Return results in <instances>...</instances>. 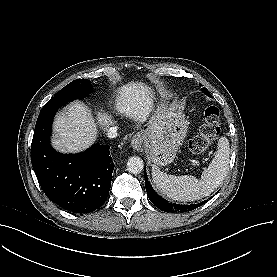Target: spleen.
<instances>
[{"label":"spleen","instance_id":"spleen-1","mask_svg":"<svg viewBox=\"0 0 277 277\" xmlns=\"http://www.w3.org/2000/svg\"><path fill=\"white\" fill-rule=\"evenodd\" d=\"M229 155V141L226 137H221L218 140V150L200 179L191 175H168L153 166V182L158 190L172 200L187 202L202 199L217 189L227 176Z\"/></svg>","mask_w":277,"mask_h":277}]
</instances>
